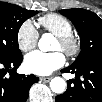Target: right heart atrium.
<instances>
[{"label":"right heart atrium","instance_id":"d8ad5b80","mask_svg":"<svg viewBox=\"0 0 102 102\" xmlns=\"http://www.w3.org/2000/svg\"><path fill=\"white\" fill-rule=\"evenodd\" d=\"M38 38V30L31 19L23 21L17 29L16 40L22 51L32 50L37 45Z\"/></svg>","mask_w":102,"mask_h":102}]
</instances>
